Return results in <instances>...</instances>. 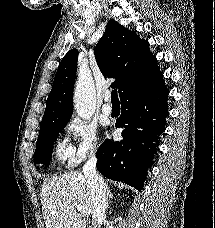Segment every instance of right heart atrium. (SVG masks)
Instances as JSON below:
<instances>
[{"mask_svg": "<svg viewBox=\"0 0 215 228\" xmlns=\"http://www.w3.org/2000/svg\"><path fill=\"white\" fill-rule=\"evenodd\" d=\"M66 130L73 138L70 159L74 164L95 157L100 150V133L96 125L73 117L66 125Z\"/></svg>", "mask_w": 215, "mask_h": 228, "instance_id": "right-heart-atrium-1", "label": "right heart atrium"}]
</instances>
